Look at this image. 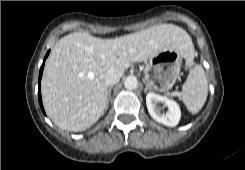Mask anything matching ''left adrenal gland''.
Segmentation results:
<instances>
[{"label":"left adrenal gland","mask_w":245,"mask_h":170,"mask_svg":"<svg viewBox=\"0 0 245 170\" xmlns=\"http://www.w3.org/2000/svg\"><path fill=\"white\" fill-rule=\"evenodd\" d=\"M148 89H150V88L148 85H146L144 92L146 93Z\"/></svg>","instance_id":"obj_1"}]
</instances>
